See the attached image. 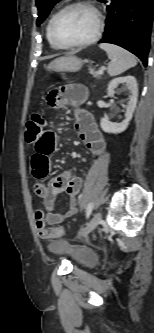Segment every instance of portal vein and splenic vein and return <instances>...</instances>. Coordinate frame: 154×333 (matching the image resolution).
Masks as SVG:
<instances>
[{
    "label": "portal vein and splenic vein",
    "mask_w": 154,
    "mask_h": 333,
    "mask_svg": "<svg viewBox=\"0 0 154 333\" xmlns=\"http://www.w3.org/2000/svg\"><path fill=\"white\" fill-rule=\"evenodd\" d=\"M105 70V68L104 67H101V69L99 70V73L100 74H103V71Z\"/></svg>",
    "instance_id": "portal-vein-and-splenic-vein-1"
}]
</instances>
